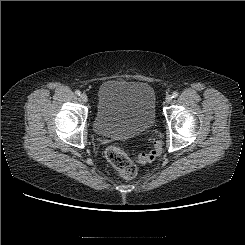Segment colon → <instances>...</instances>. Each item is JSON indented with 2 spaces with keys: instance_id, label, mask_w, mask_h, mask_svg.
<instances>
[{
  "instance_id": "1",
  "label": "colon",
  "mask_w": 245,
  "mask_h": 245,
  "mask_svg": "<svg viewBox=\"0 0 245 245\" xmlns=\"http://www.w3.org/2000/svg\"><path fill=\"white\" fill-rule=\"evenodd\" d=\"M161 154V144L155 141L153 148L149 152L136 155V161L140 164H146L155 160ZM106 158L109 163L118 171L123 178H133L136 175V164L128 155L118 146H110L106 150Z\"/></svg>"
}]
</instances>
